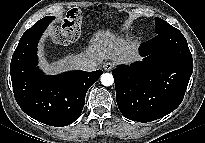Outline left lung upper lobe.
<instances>
[{"instance_id":"obj_1","label":"left lung upper lobe","mask_w":205,"mask_h":143,"mask_svg":"<svg viewBox=\"0 0 205 143\" xmlns=\"http://www.w3.org/2000/svg\"><path fill=\"white\" fill-rule=\"evenodd\" d=\"M155 25H156L157 34L172 32L177 30L175 27L171 26L169 23H167L166 21L158 17H155Z\"/></svg>"}]
</instances>
